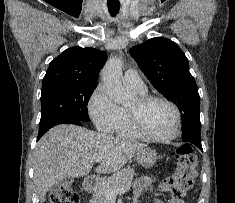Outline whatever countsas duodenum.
Returning a JSON list of instances; mask_svg holds the SVG:
<instances>
[{
  "mask_svg": "<svg viewBox=\"0 0 235 203\" xmlns=\"http://www.w3.org/2000/svg\"><path fill=\"white\" fill-rule=\"evenodd\" d=\"M97 178L93 176H89L84 180L83 183V191L86 193L91 192L97 186Z\"/></svg>",
  "mask_w": 235,
  "mask_h": 203,
  "instance_id": "410a0bca",
  "label": "duodenum"
}]
</instances>
